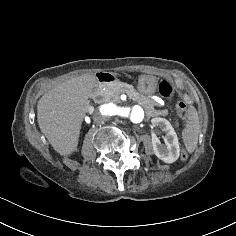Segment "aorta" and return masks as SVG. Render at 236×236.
<instances>
[{
    "label": "aorta",
    "instance_id": "obj_1",
    "mask_svg": "<svg viewBox=\"0 0 236 236\" xmlns=\"http://www.w3.org/2000/svg\"><path fill=\"white\" fill-rule=\"evenodd\" d=\"M99 110L104 116L118 115L129 119L135 124L141 123L145 118V110L138 105L120 107L114 103H107L100 106Z\"/></svg>",
    "mask_w": 236,
    "mask_h": 236
}]
</instances>
